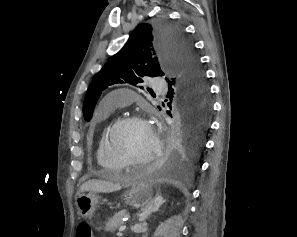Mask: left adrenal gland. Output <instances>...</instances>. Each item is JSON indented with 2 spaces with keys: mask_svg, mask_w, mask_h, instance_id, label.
Listing matches in <instances>:
<instances>
[{
  "mask_svg": "<svg viewBox=\"0 0 297 237\" xmlns=\"http://www.w3.org/2000/svg\"><path fill=\"white\" fill-rule=\"evenodd\" d=\"M163 203H165V200L162 198L161 195H157L149 205H147L145 208L142 209L139 221L140 222L145 221L148 218V216L158 211Z\"/></svg>",
  "mask_w": 297,
  "mask_h": 237,
  "instance_id": "left-adrenal-gland-1",
  "label": "left adrenal gland"
}]
</instances>
